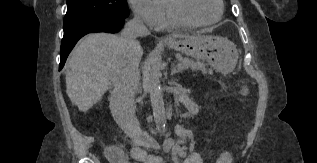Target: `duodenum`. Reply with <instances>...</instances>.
I'll return each mask as SVG.
<instances>
[{"label":"duodenum","mask_w":317,"mask_h":163,"mask_svg":"<svg viewBox=\"0 0 317 163\" xmlns=\"http://www.w3.org/2000/svg\"><path fill=\"white\" fill-rule=\"evenodd\" d=\"M131 142L133 144L132 148L147 146V147H157L159 145V140L156 136L151 135L147 132H140L134 136H130ZM108 152L111 156H119L122 153V150L115 145H112L108 148Z\"/></svg>","instance_id":"410a0bca"}]
</instances>
